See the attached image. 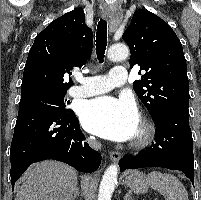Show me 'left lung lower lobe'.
<instances>
[{"label": "left lung lower lobe", "instance_id": "obj_1", "mask_svg": "<svg viewBox=\"0 0 201 200\" xmlns=\"http://www.w3.org/2000/svg\"><path fill=\"white\" fill-rule=\"evenodd\" d=\"M155 143L137 155H126L120 170L143 167H164L180 170L194 184V155L192 133L189 127V109L185 106H168L154 117Z\"/></svg>", "mask_w": 201, "mask_h": 200}]
</instances>
